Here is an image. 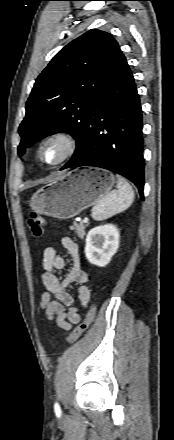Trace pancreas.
<instances>
[{
    "label": "pancreas",
    "mask_w": 174,
    "mask_h": 440,
    "mask_svg": "<svg viewBox=\"0 0 174 440\" xmlns=\"http://www.w3.org/2000/svg\"><path fill=\"white\" fill-rule=\"evenodd\" d=\"M89 225V223H85L83 221L81 222H74L73 226L71 227V230H74V232L78 235L80 239H83L85 236V228Z\"/></svg>",
    "instance_id": "1"
}]
</instances>
